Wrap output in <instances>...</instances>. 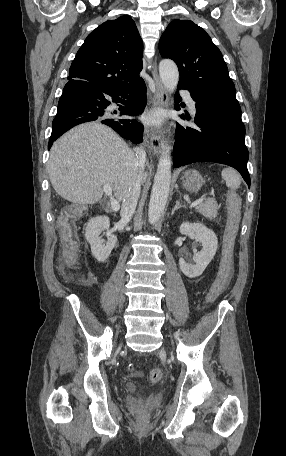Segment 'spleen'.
Returning a JSON list of instances; mask_svg holds the SVG:
<instances>
[{
	"label": "spleen",
	"instance_id": "1",
	"mask_svg": "<svg viewBox=\"0 0 286 456\" xmlns=\"http://www.w3.org/2000/svg\"><path fill=\"white\" fill-rule=\"evenodd\" d=\"M221 176L230 189H238L241 183L240 175L232 168L223 169Z\"/></svg>",
	"mask_w": 286,
	"mask_h": 456
}]
</instances>
